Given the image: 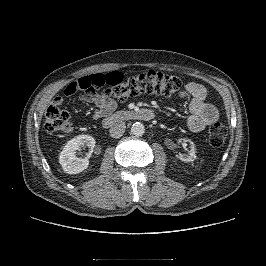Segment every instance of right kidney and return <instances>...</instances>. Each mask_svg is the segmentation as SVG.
Masks as SVG:
<instances>
[{
  "label": "right kidney",
  "mask_w": 266,
  "mask_h": 266,
  "mask_svg": "<svg viewBox=\"0 0 266 266\" xmlns=\"http://www.w3.org/2000/svg\"><path fill=\"white\" fill-rule=\"evenodd\" d=\"M80 146L89 147L90 152L86 158H78L76 156V152L80 149ZM94 146L95 139L90 135H79L69 140L61 151L59 157V163L64 172L68 174H77L87 169L89 165L88 158L93 152Z\"/></svg>",
  "instance_id": "ca27d5eb"
}]
</instances>
